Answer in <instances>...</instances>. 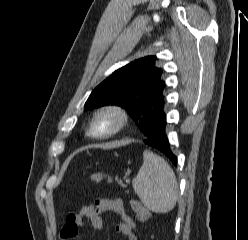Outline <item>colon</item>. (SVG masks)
I'll return each instance as SVG.
<instances>
[{
	"label": "colon",
	"mask_w": 248,
	"mask_h": 240,
	"mask_svg": "<svg viewBox=\"0 0 248 240\" xmlns=\"http://www.w3.org/2000/svg\"><path fill=\"white\" fill-rule=\"evenodd\" d=\"M91 180L94 182H101V181H107L110 182L111 178L109 175L105 173H95L91 176ZM131 207L136 214L137 219L140 222H145L149 218V212L148 210L137 200L131 199L130 200Z\"/></svg>",
	"instance_id": "5ec220e1"
}]
</instances>
